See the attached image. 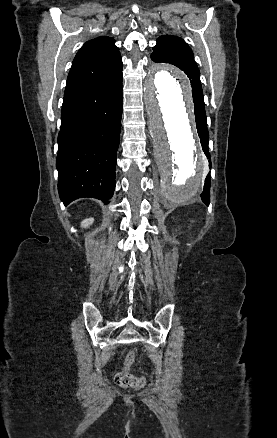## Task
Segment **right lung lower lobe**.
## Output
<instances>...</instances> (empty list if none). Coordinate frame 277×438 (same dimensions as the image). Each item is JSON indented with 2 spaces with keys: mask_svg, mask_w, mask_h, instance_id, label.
<instances>
[{
  "mask_svg": "<svg viewBox=\"0 0 277 438\" xmlns=\"http://www.w3.org/2000/svg\"><path fill=\"white\" fill-rule=\"evenodd\" d=\"M122 116V70L64 95L56 166L65 205L81 197L105 204L115 189Z\"/></svg>",
  "mask_w": 277,
  "mask_h": 438,
  "instance_id": "obj_1",
  "label": "right lung lower lobe"
}]
</instances>
